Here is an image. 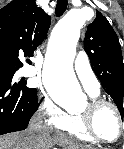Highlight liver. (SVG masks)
Masks as SVG:
<instances>
[{"label":"liver","mask_w":124,"mask_h":149,"mask_svg":"<svg viewBox=\"0 0 124 149\" xmlns=\"http://www.w3.org/2000/svg\"><path fill=\"white\" fill-rule=\"evenodd\" d=\"M52 145V138L45 131L40 133L39 137H32L28 131L0 137V149H48ZM81 149L92 148L84 146Z\"/></svg>","instance_id":"1"}]
</instances>
